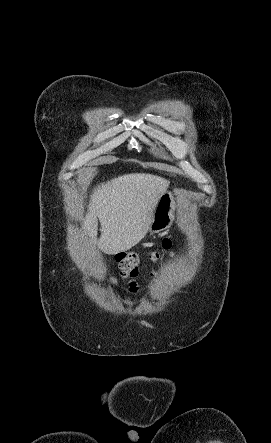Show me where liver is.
Masks as SVG:
<instances>
[{
  "mask_svg": "<svg viewBox=\"0 0 271 443\" xmlns=\"http://www.w3.org/2000/svg\"><path fill=\"white\" fill-rule=\"evenodd\" d=\"M168 186V180L152 174H126L102 182L94 188L82 225L88 245H98L104 253L131 249L145 237L153 210ZM97 218L101 225L100 239H97Z\"/></svg>",
  "mask_w": 271,
  "mask_h": 443,
  "instance_id": "6515ba94",
  "label": "liver"
}]
</instances>
